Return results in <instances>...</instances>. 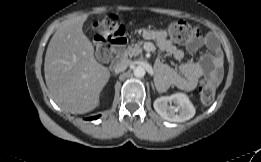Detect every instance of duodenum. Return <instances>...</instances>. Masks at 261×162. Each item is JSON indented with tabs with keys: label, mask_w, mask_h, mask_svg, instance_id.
<instances>
[{
	"label": "duodenum",
	"mask_w": 261,
	"mask_h": 162,
	"mask_svg": "<svg viewBox=\"0 0 261 162\" xmlns=\"http://www.w3.org/2000/svg\"><path fill=\"white\" fill-rule=\"evenodd\" d=\"M125 43H126V42H125ZM125 43L118 44V45H113V46H112V50H113L115 53H122V52H123V49H124V46H125Z\"/></svg>",
	"instance_id": "obj_1"
}]
</instances>
